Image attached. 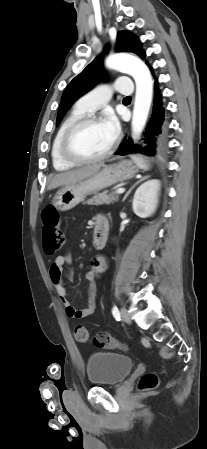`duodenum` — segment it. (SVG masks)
<instances>
[{
    "mask_svg": "<svg viewBox=\"0 0 207 449\" xmlns=\"http://www.w3.org/2000/svg\"><path fill=\"white\" fill-rule=\"evenodd\" d=\"M108 235V223L106 219L99 218L96 221L93 241L97 248H103L106 245Z\"/></svg>",
    "mask_w": 207,
    "mask_h": 449,
    "instance_id": "duodenum-1",
    "label": "duodenum"
}]
</instances>
